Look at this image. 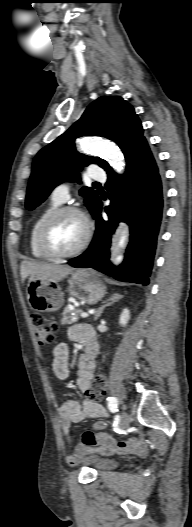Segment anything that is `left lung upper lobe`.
Here are the masks:
<instances>
[{
	"instance_id": "obj_1",
	"label": "left lung upper lobe",
	"mask_w": 192,
	"mask_h": 527,
	"mask_svg": "<svg viewBox=\"0 0 192 527\" xmlns=\"http://www.w3.org/2000/svg\"><path fill=\"white\" fill-rule=\"evenodd\" d=\"M81 136H102L116 142L126 160L135 147L146 141L141 122L127 101L120 96L98 98L64 134L36 155L27 189V209L32 210L42 203L53 188L64 181L80 183L79 172L83 166L96 163L107 173L114 172L105 160L75 150L74 141ZM80 195L94 216L100 201L98 193L83 187Z\"/></svg>"
}]
</instances>
